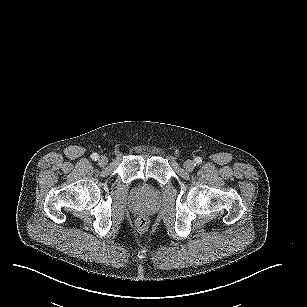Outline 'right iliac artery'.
<instances>
[{
	"label": "right iliac artery",
	"instance_id": "right-iliac-artery-1",
	"mask_svg": "<svg viewBox=\"0 0 307 307\" xmlns=\"http://www.w3.org/2000/svg\"><path fill=\"white\" fill-rule=\"evenodd\" d=\"M91 158H92L94 161H97V160L99 159V156H98L97 153H93V154L91 155Z\"/></svg>",
	"mask_w": 307,
	"mask_h": 307
}]
</instances>
